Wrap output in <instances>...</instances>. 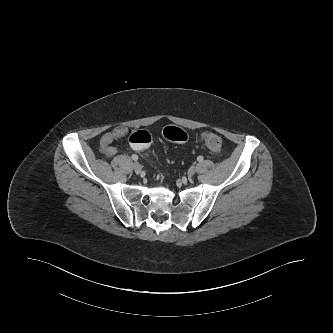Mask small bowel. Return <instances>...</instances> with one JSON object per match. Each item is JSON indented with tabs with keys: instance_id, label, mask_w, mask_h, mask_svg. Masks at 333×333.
Segmentation results:
<instances>
[{
	"instance_id": "obj_1",
	"label": "small bowel",
	"mask_w": 333,
	"mask_h": 333,
	"mask_svg": "<svg viewBox=\"0 0 333 333\" xmlns=\"http://www.w3.org/2000/svg\"><path fill=\"white\" fill-rule=\"evenodd\" d=\"M133 130L130 127H117L105 133L99 142L100 152L107 158H112L117 154V149L112 145L114 141L122 138H130Z\"/></svg>"
}]
</instances>
